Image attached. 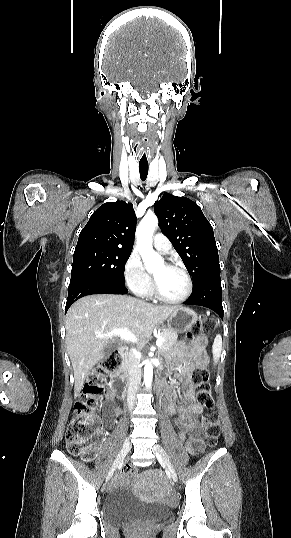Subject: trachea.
Returning <instances> with one entry per match:
<instances>
[{
  "label": "trachea",
  "mask_w": 291,
  "mask_h": 538,
  "mask_svg": "<svg viewBox=\"0 0 291 538\" xmlns=\"http://www.w3.org/2000/svg\"><path fill=\"white\" fill-rule=\"evenodd\" d=\"M140 178L145 181L148 175V164H139Z\"/></svg>",
  "instance_id": "1"
}]
</instances>
